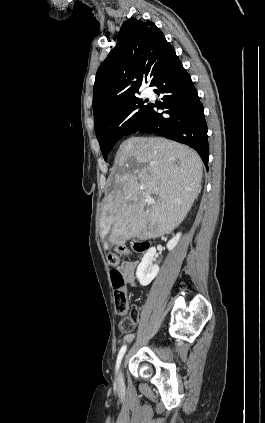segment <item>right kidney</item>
<instances>
[{
	"mask_svg": "<svg viewBox=\"0 0 265 423\" xmlns=\"http://www.w3.org/2000/svg\"><path fill=\"white\" fill-rule=\"evenodd\" d=\"M180 237L181 233L179 232L167 243V249L169 251L176 247ZM155 255L156 248H149L142 258L141 263L138 265L136 276L142 286L149 285L158 274L159 267L156 264H153Z\"/></svg>",
	"mask_w": 265,
	"mask_h": 423,
	"instance_id": "right-kidney-1",
	"label": "right kidney"
}]
</instances>
